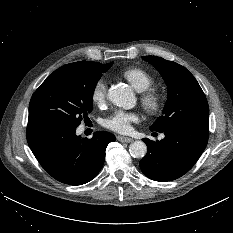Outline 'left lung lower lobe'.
<instances>
[{"instance_id":"obj_1","label":"left lung lower lobe","mask_w":233,"mask_h":233,"mask_svg":"<svg viewBox=\"0 0 233 233\" xmlns=\"http://www.w3.org/2000/svg\"><path fill=\"white\" fill-rule=\"evenodd\" d=\"M163 132L161 141L143 139L148 151L140 161L144 175L159 182L175 180L192 168L207 145L209 124L185 123Z\"/></svg>"}]
</instances>
